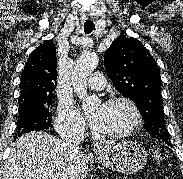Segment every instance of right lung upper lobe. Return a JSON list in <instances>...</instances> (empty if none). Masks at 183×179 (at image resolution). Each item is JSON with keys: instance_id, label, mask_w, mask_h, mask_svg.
Segmentation results:
<instances>
[{"instance_id": "cb5924a9", "label": "right lung upper lobe", "mask_w": 183, "mask_h": 179, "mask_svg": "<svg viewBox=\"0 0 183 179\" xmlns=\"http://www.w3.org/2000/svg\"><path fill=\"white\" fill-rule=\"evenodd\" d=\"M21 77L19 100L53 95L57 85V58L53 40L43 42L30 54Z\"/></svg>"}]
</instances>
